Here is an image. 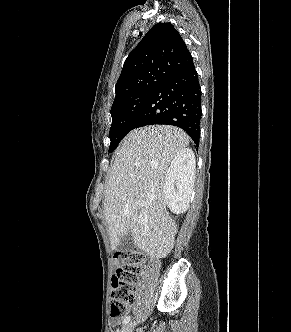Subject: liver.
Wrapping results in <instances>:
<instances>
[{
	"instance_id": "liver-1",
	"label": "liver",
	"mask_w": 291,
	"mask_h": 332,
	"mask_svg": "<svg viewBox=\"0 0 291 332\" xmlns=\"http://www.w3.org/2000/svg\"><path fill=\"white\" fill-rule=\"evenodd\" d=\"M188 145L185 132L167 125L141 127L123 139L104 200L112 248L131 233L134 245L151 257L171 252L177 225L166 210L164 182L175 156Z\"/></svg>"
}]
</instances>
